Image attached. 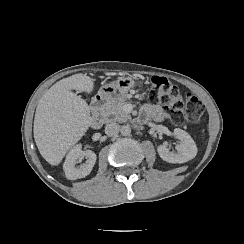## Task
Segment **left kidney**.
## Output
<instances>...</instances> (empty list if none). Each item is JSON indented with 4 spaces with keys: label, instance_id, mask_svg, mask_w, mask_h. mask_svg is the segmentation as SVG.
Listing matches in <instances>:
<instances>
[{
    "label": "left kidney",
    "instance_id": "1",
    "mask_svg": "<svg viewBox=\"0 0 244 244\" xmlns=\"http://www.w3.org/2000/svg\"><path fill=\"white\" fill-rule=\"evenodd\" d=\"M174 135L180 140V143L175 146L177 153L173 154L167 146L159 144L157 152L160 158L174 164H182L192 160L197 154L196 144L193 139L181 129H174Z\"/></svg>",
    "mask_w": 244,
    "mask_h": 244
}]
</instances>
